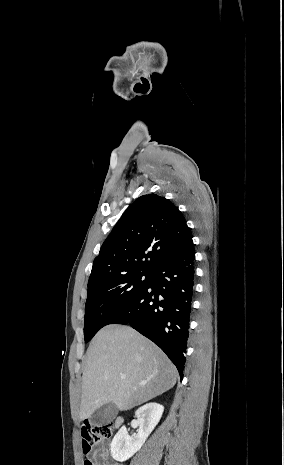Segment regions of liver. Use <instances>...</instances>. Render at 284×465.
<instances>
[{"mask_svg": "<svg viewBox=\"0 0 284 465\" xmlns=\"http://www.w3.org/2000/svg\"><path fill=\"white\" fill-rule=\"evenodd\" d=\"M177 377L176 367L159 347L131 327L108 325L87 351L79 421L107 403H115L119 411L138 407L172 389Z\"/></svg>", "mask_w": 284, "mask_h": 465, "instance_id": "liver-1", "label": "liver"}]
</instances>
